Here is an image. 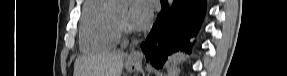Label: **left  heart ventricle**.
Returning <instances> with one entry per match:
<instances>
[{
  "instance_id": "obj_1",
  "label": "left heart ventricle",
  "mask_w": 287,
  "mask_h": 76,
  "mask_svg": "<svg viewBox=\"0 0 287 76\" xmlns=\"http://www.w3.org/2000/svg\"><path fill=\"white\" fill-rule=\"evenodd\" d=\"M115 15L119 20L122 22L129 24L128 22V10L127 8H119L118 10L115 11Z\"/></svg>"
}]
</instances>
